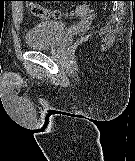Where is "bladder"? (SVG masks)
Wrapping results in <instances>:
<instances>
[{
    "mask_svg": "<svg viewBox=\"0 0 135 161\" xmlns=\"http://www.w3.org/2000/svg\"><path fill=\"white\" fill-rule=\"evenodd\" d=\"M65 32L64 23L46 20L36 23L26 33V47L33 50L47 49L55 46Z\"/></svg>",
    "mask_w": 135,
    "mask_h": 161,
    "instance_id": "obj_1",
    "label": "bladder"
}]
</instances>
